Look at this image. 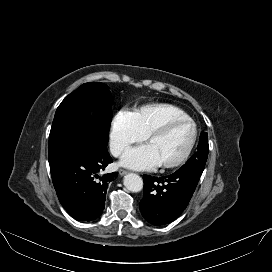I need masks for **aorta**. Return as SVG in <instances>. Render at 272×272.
<instances>
[{
    "label": "aorta",
    "mask_w": 272,
    "mask_h": 272,
    "mask_svg": "<svg viewBox=\"0 0 272 272\" xmlns=\"http://www.w3.org/2000/svg\"><path fill=\"white\" fill-rule=\"evenodd\" d=\"M124 185L131 192H139L143 188V180L139 175L129 173L124 177Z\"/></svg>",
    "instance_id": "762f6f07"
}]
</instances>
